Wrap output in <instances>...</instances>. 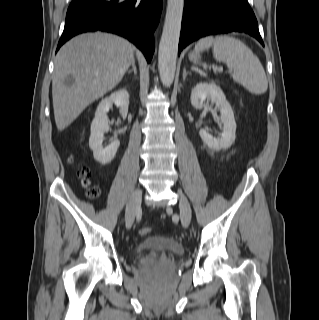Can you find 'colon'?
Here are the masks:
<instances>
[{
	"mask_svg": "<svg viewBox=\"0 0 319 320\" xmlns=\"http://www.w3.org/2000/svg\"><path fill=\"white\" fill-rule=\"evenodd\" d=\"M79 176L81 177L82 179V182L86 185L89 184V180H90V177H91V171L89 168L87 167H82L80 170H79ZM87 195L90 197V198H93V199H96L100 196V190L99 188L97 187H89L88 188V191H87ZM151 232V229L148 228V227H143L139 230V234L141 236H147L149 233Z\"/></svg>",
	"mask_w": 319,
	"mask_h": 320,
	"instance_id": "colon-1",
	"label": "colon"
}]
</instances>
